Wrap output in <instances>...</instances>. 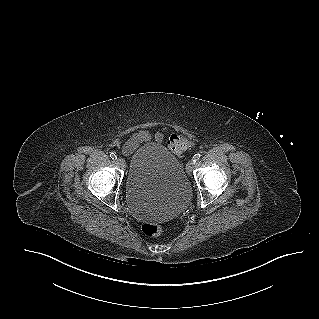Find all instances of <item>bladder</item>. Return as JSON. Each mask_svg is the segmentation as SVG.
I'll return each mask as SVG.
<instances>
[{
    "instance_id": "bladder-1",
    "label": "bladder",
    "mask_w": 319,
    "mask_h": 319,
    "mask_svg": "<svg viewBox=\"0 0 319 319\" xmlns=\"http://www.w3.org/2000/svg\"><path fill=\"white\" fill-rule=\"evenodd\" d=\"M125 197L139 218L163 220L188 204L191 185L180 160L165 146L149 143L130 156Z\"/></svg>"
}]
</instances>
